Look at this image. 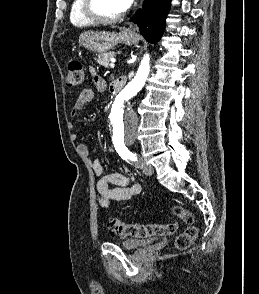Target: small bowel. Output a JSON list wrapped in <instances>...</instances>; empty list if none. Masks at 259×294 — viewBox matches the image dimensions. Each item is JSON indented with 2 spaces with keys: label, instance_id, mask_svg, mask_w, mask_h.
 Returning <instances> with one entry per match:
<instances>
[{
  "label": "small bowel",
  "instance_id": "1",
  "mask_svg": "<svg viewBox=\"0 0 259 294\" xmlns=\"http://www.w3.org/2000/svg\"><path fill=\"white\" fill-rule=\"evenodd\" d=\"M91 74L96 89L100 92L105 91L107 89L106 81L98 76L94 69L91 70ZM93 98L94 91L91 88L81 90L72 107V115H77ZM72 136L75 138L76 134L73 133ZM77 149L82 155L90 159L93 171L99 176L96 188L99 193L98 204L101 207L107 208L113 201H127L140 193V186L132 184V173L130 170L124 169L123 172L105 174L101 161L98 158L91 159L90 150L87 145L79 144ZM110 185H113V187L111 188Z\"/></svg>",
  "mask_w": 259,
  "mask_h": 294
}]
</instances>
